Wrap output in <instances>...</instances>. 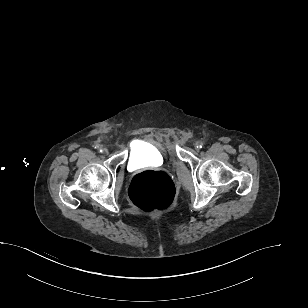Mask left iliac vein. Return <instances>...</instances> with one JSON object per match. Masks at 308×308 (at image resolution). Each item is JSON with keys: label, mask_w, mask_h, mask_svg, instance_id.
<instances>
[{"label": "left iliac vein", "mask_w": 308, "mask_h": 308, "mask_svg": "<svg viewBox=\"0 0 308 308\" xmlns=\"http://www.w3.org/2000/svg\"><path fill=\"white\" fill-rule=\"evenodd\" d=\"M199 143H200V142H195V149H196V150H199V147H198Z\"/></svg>", "instance_id": "obj_1"}]
</instances>
